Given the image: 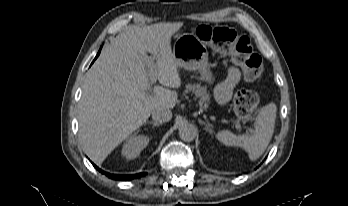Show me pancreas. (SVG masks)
<instances>
[{
	"instance_id": "obj_1",
	"label": "pancreas",
	"mask_w": 348,
	"mask_h": 206,
	"mask_svg": "<svg viewBox=\"0 0 348 206\" xmlns=\"http://www.w3.org/2000/svg\"><path fill=\"white\" fill-rule=\"evenodd\" d=\"M187 92H192L197 98H199V105L207 108L210 100V95L207 93L206 87L201 86L200 84H188L186 86Z\"/></svg>"
}]
</instances>
